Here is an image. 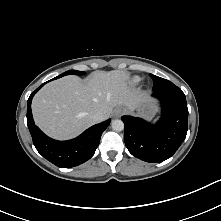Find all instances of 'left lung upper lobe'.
<instances>
[{"mask_svg": "<svg viewBox=\"0 0 221 221\" xmlns=\"http://www.w3.org/2000/svg\"><path fill=\"white\" fill-rule=\"evenodd\" d=\"M150 76L153 79V83H154L153 90L154 91L171 89V88L177 87L172 82H170L164 78L155 76L153 74H150Z\"/></svg>", "mask_w": 221, "mask_h": 221, "instance_id": "obj_1", "label": "left lung upper lobe"}]
</instances>
